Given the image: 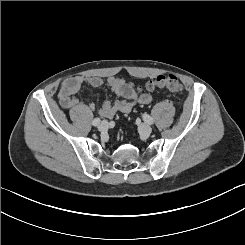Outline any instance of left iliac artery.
I'll use <instances>...</instances> for the list:
<instances>
[{
    "mask_svg": "<svg viewBox=\"0 0 245 245\" xmlns=\"http://www.w3.org/2000/svg\"><path fill=\"white\" fill-rule=\"evenodd\" d=\"M143 119H144V121L145 122H147L148 124H153V118L152 117H150L148 114H144L143 115Z\"/></svg>",
    "mask_w": 245,
    "mask_h": 245,
    "instance_id": "obj_1",
    "label": "left iliac artery"
}]
</instances>
